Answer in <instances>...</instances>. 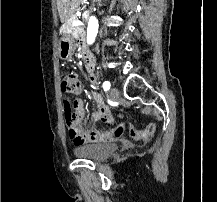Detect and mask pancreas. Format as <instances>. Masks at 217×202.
Masks as SVG:
<instances>
[{"instance_id": "cf45deb5", "label": "pancreas", "mask_w": 217, "mask_h": 202, "mask_svg": "<svg viewBox=\"0 0 217 202\" xmlns=\"http://www.w3.org/2000/svg\"><path fill=\"white\" fill-rule=\"evenodd\" d=\"M76 18L73 16L71 17V20H75ZM62 30L64 32H66L67 34H72V36H74V38H79L80 34H82L83 32V28H81V26H72V22H65L63 23V25L61 26Z\"/></svg>"}]
</instances>
